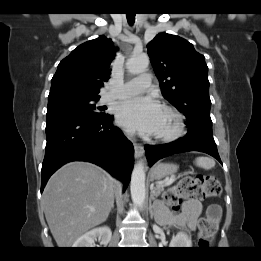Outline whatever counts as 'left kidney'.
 I'll return each mask as SVG.
<instances>
[{
    "instance_id": "obj_1",
    "label": "left kidney",
    "mask_w": 261,
    "mask_h": 261,
    "mask_svg": "<svg viewBox=\"0 0 261 261\" xmlns=\"http://www.w3.org/2000/svg\"><path fill=\"white\" fill-rule=\"evenodd\" d=\"M174 248H189L192 246L191 239L185 233L179 232L170 242Z\"/></svg>"
}]
</instances>
